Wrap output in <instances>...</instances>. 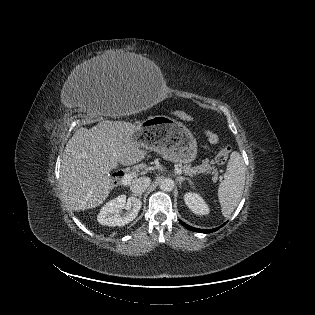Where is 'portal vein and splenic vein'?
<instances>
[{
	"label": "portal vein and splenic vein",
	"mask_w": 315,
	"mask_h": 315,
	"mask_svg": "<svg viewBox=\"0 0 315 315\" xmlns=\"http://www.w3.org/2000/svg\"><path fill=\"white\" fill-rule=\"evenodd\" d=\"M175 172L179 175L182 174V170L177 167L175 168ZM132 179H133V174L127 173L123 176V178L121 179V182L123 185H127L131 182Z\"/></svg>",
	"instance_id": "portal-vein-and-splenic-vein-1"
}]
</instances>
